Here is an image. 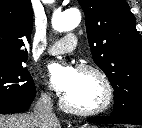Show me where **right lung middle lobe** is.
Masks as SVG:
<instances>
[{"label": "right lung middle lobe", "mask_w": 142, "mask_h": 128, "mask_svg": "<svg viewBox=\"0 0 142 128\" xmlns=\"http://www.w3.org/2000/svg\"><path fill=\"white\" fill-rule=\"evenodd\" d=\"M34 81L23 65L0 66V102H31L35 98Z\"/></svg>", "instance_id": "obj_1"}]
</instances>
